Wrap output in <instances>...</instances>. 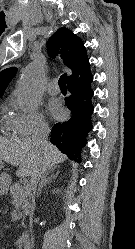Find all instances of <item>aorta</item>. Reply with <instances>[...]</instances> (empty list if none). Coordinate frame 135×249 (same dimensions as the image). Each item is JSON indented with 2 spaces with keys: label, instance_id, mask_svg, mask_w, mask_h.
<instances>
[{
  "label": "aorta",
  "instance_id": "obj_1",
  "mask_svg": "<svg viewBox=\"0 0 135 249\" xmlns=\"http://www.w3.org/2000/svg\"><path fill=\"white\" fill-rule=\"evenodd\" d=\"M43 68L38 64L31 65L22 75L16 98L26 110H34L42 98Z\"/></svg>",
  "mask_w": 135,
  "mask_h": 249
}]
</instances>
